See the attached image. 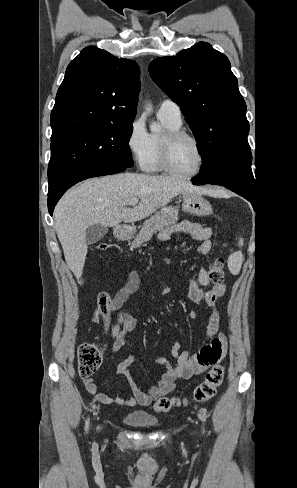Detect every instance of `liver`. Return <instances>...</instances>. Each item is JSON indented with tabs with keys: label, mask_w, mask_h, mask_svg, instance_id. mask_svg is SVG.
Here are the masks:
<instances>
[{
	"label": "liver",
	"mask_w": 297,
	"mask_h": 488,
	"mask_svg": "<svg viewBox=\"0 0 297 488\" xmlns=\"http://www.w3.org/2000/svg\"><path fill=\"white\" fill-rule=\"evenodd\" d=\"M183 192L210 193L174 176L120 173L87 180L69 190L54 210L55 230L66 263L78 283L87 255L86 230L94 224L117 227L142 220ZM132 198L138 205L129 208Z\"/></svg>",
	"instance_id": "6515ba94"
}]
</instances>
